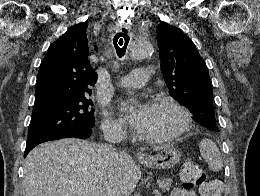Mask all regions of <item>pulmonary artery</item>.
Returning <instances> with one entry per match:
<instances>
[{"label":"pulmonary artery","mask_w":260,"mask_h":196,"mask_svg":"<svg viewBox=\"0 0 260 196\" xmlns=\"http://www.w3.org/2000/svg\"><path fill=\"white\" fill-rule=\"evenodd\" d=\"M149 69H133L123 79H116V84H149ZM139 85H123V90H138Z\"/></svg>","instance_id":"e3ab8cb5"}]
</instances>
